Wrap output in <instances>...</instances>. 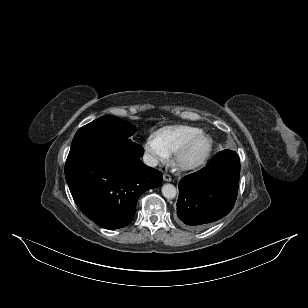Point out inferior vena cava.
I'll return each mask as SVG.
<instances>
[{
  "mask_svg": "<svg viewBox=\"0 0 308 308\" xmlns=\"http://www.w3.org/2000/svg\"><path fill=\"white\" fill-rule=\"evenodd\" d=\"M143 161L149 167H155L158 164V160L149 154L144 155Z\"/></svg>",
  "mask_w": 308,
  "mask_h": 308,
  "instance_id": "inferior-vena-cava-1",
  "label": "inferior vena cava"
}]
</instances>
